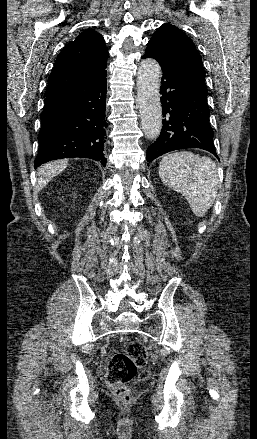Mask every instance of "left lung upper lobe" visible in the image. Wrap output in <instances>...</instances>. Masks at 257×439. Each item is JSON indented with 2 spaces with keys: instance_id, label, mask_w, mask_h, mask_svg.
<instances>
[{
  "instance_id": "1",
  "label": "left lung upper lobe",
  "mask_w": 257,
  "mask_h": 439,
  "mask_svg": "<svg viewBox=\"0 0 257 439\" xmlns=\"http://www.w3.org/2000/svg\"><path fill=\"white\" fill-rule=\"evenodd\" d=\"M147 46H153L164 60L182 68L206 88L201 56L193 41L179 28L168 23L163 24L153 34Z\"/></svg>"
}]
</instances>
